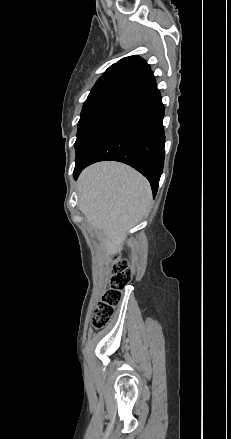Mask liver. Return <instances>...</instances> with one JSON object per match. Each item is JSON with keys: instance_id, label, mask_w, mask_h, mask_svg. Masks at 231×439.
<instances>
[{"instance_id": "liver-1", "label": "liver", "mask_w": 231, "mask_h": 439, "mask_svg": "<svg viewBox=\"0 0 231 439\" xmlns=\"http://www.w3.org/2000/svg\"><path fill=\"white\" fill-rule=\"evenodd\" d=\"M78 206L87 222L99 230L105 252L123 248L128 231L148 213L152 191L148 180L118 162L87 167L78 179Z\"/></svg>"}]
</instances>
